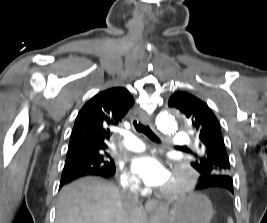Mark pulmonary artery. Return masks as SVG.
<instances>
[{"mask_svg":"<svg viewBox=\"0 0 267 223\" xmlns=\"http://www.w3.org/2000/svg\"><path fill=\"white\" fill-rule=\"evenodd\" d=\"M172 143L181 147L187 143V139L184 136L177 135L172 139ZM124 145L130 151H142L146 147L142 140L131 133L126 135Z\"/></svg>","mask_w":267,"mask_h":223,"instance_id":"1","label":"pulmonary artery"}]
</instances>
